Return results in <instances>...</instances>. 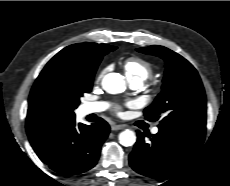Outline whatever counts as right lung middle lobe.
Masks as SVG:
<instances>
[{"label": "right lung middle lobe", "mask_w": 230, "mask_h": 186, "mask_svg": "<svg viewBox=\"0 0 230 186\" xmlns=\"http://www.w3.org/2000/svg\"><path fill=\"white\" fill-rule=\"evenodd\" d=\"M115 49V46H110L104 49L101 57ZM99 63L100 61L93 69L77 70L71 74L59 78L56 81L55 88L57 96L72 110L79 105L80 98L83 96V94L91 91L93 77Z\"/></svg>", "instance_id": "dd1d6c3e"}]
</instances>
